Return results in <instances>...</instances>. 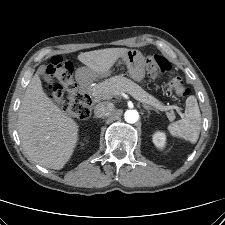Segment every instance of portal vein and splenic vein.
<instances>
[{
  "label": "portal vein and splenic vein",
  "instance_id": "portal-vein-and-splenic-vein-1",
  "mask_svg": "<svg viewBox=\"0 0 225 225\" xmlns=\"http://www.w3.org/2000/svg\"><path fill=\"white\" fill-rule=\"evenodd\" d=\"M127 93L128 94H130L132 97H134L136 100H139V101H141V102H145V100L144 99H141L140 97H138L136 94H134V93H132V92H129V91H127ZM158 110H160V111H165L166 110V108H164V107H156Z\"/></svg>",
  "mask_w": 225,
  "mask_h": 225
}]
</instances>
